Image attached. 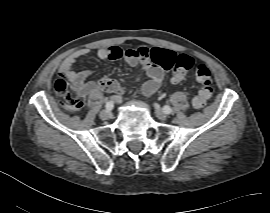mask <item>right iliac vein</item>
Returning a JSON list of instances; mask_svg holds the SVG:
<instances>
[{
  "mask_svg": "<svg viewBox=\"0 0 270 213\" xmlns=\"http://www.w3.org/2000/svg\"><path fill=\"white\" fill-rule=\"evenodd\" d=\"M111 116H112L111 110L104 109V110H102V111L100 112V118H101L102 120H108V119L111 118Z\"/></svg>",
  "mask_w": 270,
  "mask_h": 213,
  "instance_id": "obj_1",
  "label": "right iliac vein"
}]
</instances>
